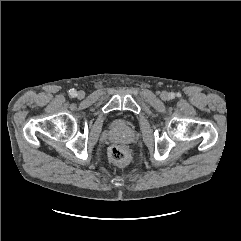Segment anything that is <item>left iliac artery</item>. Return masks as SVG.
I'll return each instance as SVG.
<instances>
[{"instance_id":"1","label":"left iliac artery","mask_w":241,"mask_h":241,"mask_svg":"<svg viewBox=\"0 0 241 241\" xmlns=\"http://www.w3.org/2000/svg\"><path fill=\"white\" fill-rule=\"evenodd\" d=\"M175 97V94L174 93H171L170 94V98L173 99Z\"/></svg>"}]
</instances>
